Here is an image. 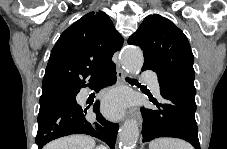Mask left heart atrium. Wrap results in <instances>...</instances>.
Returning <instances> with one entry per match:
<instances>
[{"label":"left heart atrium","instance_id":"left-heart-atrium-1","mask_svg":"<svg viewBox=\"0 0 227 149\" xmlns=\"http://www.w3.org/2000/svg\"><path fill=\"white\" fill-rule=\"evenodd\" d=\"M126 106V99L120 93L109 94L104 100V110L111 117L119 116Z\"/></svg>","mask_w":227,"mask_h":149}]
</instances>
